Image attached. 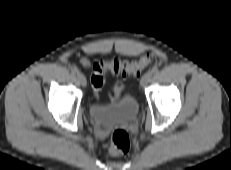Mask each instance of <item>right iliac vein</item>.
Wrapping results in <instances>:
<instances>
[{
	"mask_svg": "<svg viewBox=\"0 0 231 170\" xmlns=\"http://www.w3.org/2000/svg\"><path fill=\"white\" fill-rule=\"evenodd\" d=\"M77 80L83 87H85L87 85L86 78L82 73L77 74Z\"/></svg>",
	"mask_w": 231,
	"mask_h": 170,
	"instance_id": "63e3f726",
	"label": "right iliac vein"
}]
</instances>
